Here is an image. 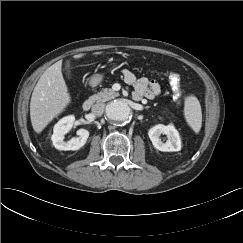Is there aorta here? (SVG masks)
<instances>
[{"label":"aorta","instance_id":"aorta-1","mask_svg":"<svg viewBox=\"0 0 243 243\" xmlns=\"http://www.w3.org/2000/svg\"><path fill=\"white\" fill-rule=\"evenodd\" d=\"M106 115L117 122H125L131 116V109L124 101H114L107 105Z\"/></svg>","mask_w":243,"mask_h":243}]
</instances>
